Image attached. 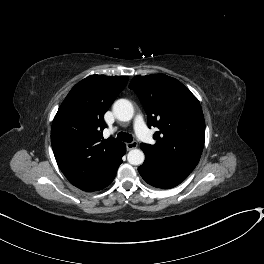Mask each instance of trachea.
I'll list each match as a JSON object with an SVG mask.
<instances>
[{
    "instance_id": "trachea-1",
    "label": "trachea",
    "mask_w": 264,
    "mask_h": 264,
    "mask_svg": "<svg viewBox=\"0 0 264 264\" xmlns=\"http://www.w3.org/2000/svg\"><path fill=\"white\" fill-rule=\"evenodd\" d=\"M117 139L120 140V141H123V142H132L133 140V137L132 135L128 134V133H125V132H119L118 135H117Z\"/></svg>"
}]
</instances>
